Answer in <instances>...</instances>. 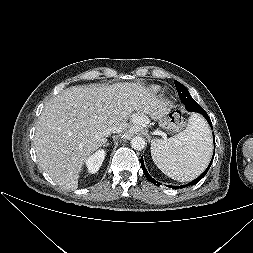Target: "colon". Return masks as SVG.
I'll list each match as a JSON object with an SVG mask.
<instances>
[{
  "instance_id": "colon-1",
  "label": "colon",
  "mask_w": 253,
  "mask_h": 253,
  "mask_svg": "<svg viewBox=\"0 0 253 253\" xmlns=\"http://www.w3.org/2000/svg\"><path fill=\"white\" fill-rule=\"evenodd\" d=\"M170 125L173 127V128H176V129H179L182 127V120L179 116L177 115H172L170 117Z\"/></svg>"
}]
</instances>
